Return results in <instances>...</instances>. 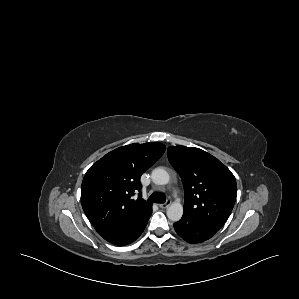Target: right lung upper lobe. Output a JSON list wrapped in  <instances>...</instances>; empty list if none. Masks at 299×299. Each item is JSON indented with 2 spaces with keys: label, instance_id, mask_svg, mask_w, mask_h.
<instances>
[{
  "label": "right lung upper lobe",
  "instance_id": "cb5924a9",
  "mask_svg": "<svg viewBox=\"0 0 299 299\" xmlns=\"http://www.w3.org/2000/svg\"><path fill=\"white\" fill-rule=\"evenodd\" d=\"M165 149L158 142L122 146L88 169L82 182L81 203L100 235L136 226L152 213L151 203L141 198L140 177Z\"/></svg>",
  "mask_w": 299,
  "mask_h": 299
}]
</instances>
